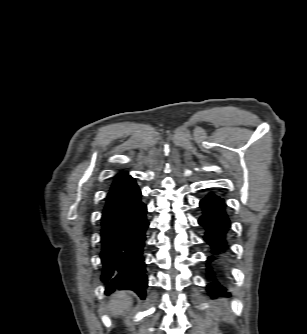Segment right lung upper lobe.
<instances>
[{
  "label": "right lung upper lobe",
  "instance_id": "right-lung-upper-lobe-1",
  "mask_svg": "<svg viewBox=\"0 0 307 334\" xmlns=\"http://www.w3.org/2000/svg\"><path fill=\"white\" fill-rule=\"evenodd\" d=\"M126 177H128V175L126 173H120V174L116 175L113 184L117 183L118 181H120V180H122Z\"/></svg>",
  "mask_w": 307,
  "mask_h": 334
}]
</instances>
